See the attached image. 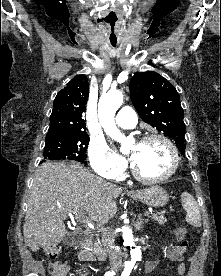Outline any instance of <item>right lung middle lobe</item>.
<instances>
[{"instance_id":"obj_1","label":"right lung middle lobe","mask_w":221,"mask_h":276,"mask_svg":"<svg viewBox=\"0 0 221 276\" xmlns=\"http://www.w3.org/2000/svg\"><path fill=\"white\" fill-rule=\"evenodd\" d=\"M88 144L86 132L46 136L43 161L69 159L83 162Z\"/></svg>"}]
</instances>
